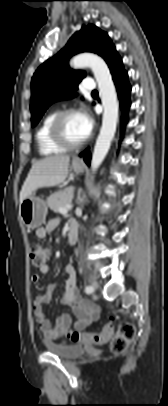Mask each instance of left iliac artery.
I'll use <instances>...</instances> for the list:
<instances>
[{"instance_id": "left-iliac-artery-1", "label": "left iliac artery", "mask_w": 168, "mask_h": 406, "mask_svg": "<svg viewBox=\"0 0 168 406\" xmlns=\"http://www.w3.org/2000/svg\"><path fill=\"white\" fill-rule=\"evenodd\" d=\"M93 291H94V288L92 286H86L85 292L87 294H91V293H93Z\"/></svg>"}]
</instances>
